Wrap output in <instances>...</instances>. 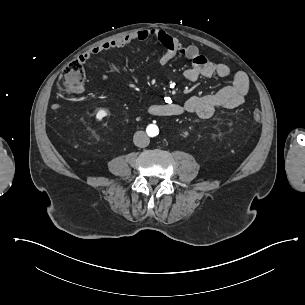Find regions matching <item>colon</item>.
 Here are the masks:
<instances>
[{
	"instance_id": "5ec220e1",
	"label": "colon",
	"mask_w": 305,
	"mask_h": 305,
	"mask_svg": "<svg viewBox=\"0 0 305 305\" xmlns=\"http://www.w3.org/2000/svg\"><path fill=\"white\" fill-rule=\"evenodd\" d=\"M85 78L86 73L83 63L78 60H70L63 67V73L58 81V87L63 86L66 92L75 94L81 90ZM252 116L256 122L261 121V113L259 110H253Z\"/></svg>"
}]
</instances>
